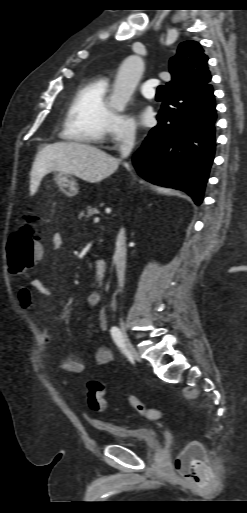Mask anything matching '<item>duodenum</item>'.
Here are the masks:
<instances>
[{"instance_id":"obj_1","label":"duodenum","mask_w":247,"mask_h":513,"mask_svg":"<svg viewBox=\"0 0 247 513\" xmlns=\"http://www.w3.org/2000/svg\"><path fill=\"white\" fill-rule=\"evenodd\" d=\"M107 275V262L103 259H98L94 263V279L97 282L105 280Z\"/></svg>"}]
</instances>
